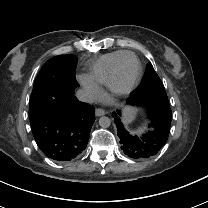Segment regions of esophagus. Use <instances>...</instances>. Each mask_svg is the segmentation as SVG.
<instances>
[{"label":"esophagus","instance_id":"obj_1","mask_svg":"<svg viewBox=\"0 0 208 208\" xmlns=\"http://www.w3.org/2000/svg\"><path fill=\"white\" fill-rule=\"evenodd\" d=\"M105 114H106V111L102 108H97L96 111H95L96 116H103Z\"/></svg>","mask_w":208,"mask_h":208}]
</instances>
